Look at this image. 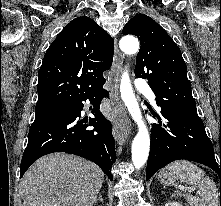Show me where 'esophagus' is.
Segmentation results:
<instances>
[{"mask_svg": "<svg viewBox=\"0 0 221 206\" xmlns=\"http://www.w3.org/2000/svg\"><path fill=\"white\" fill-rule=\"evenodd\" d=\"M124 56L118 49L115 39L114 60L109 78V86L114 108L113 114V134L118 144L122 145L130 134L129 120L126 116L125 107L119 97V81L122 72Z\"/></svg>", "mask_w": 221, "mask_h": 206, "instance_id": "1", "label": "esophagus"}]
</instances>
